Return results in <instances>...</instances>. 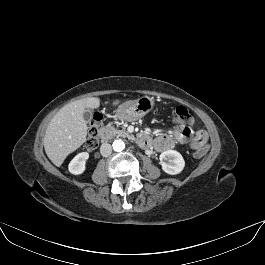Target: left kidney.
I'll return each instance as SVG.
<instances>
[{
    "label": "left kidney",
    "mask_w": 265,
    "mask_h": 265,
    "mask_svg": "<svg viewBox=\"0 0 265 265\" xmlns=\"http://www.w3.org/2000/svg\"><path fill=\"white\" fill-rule=\"evenodd\" d=\"M159 158L162 170L170 175L179 174L185 166L182 155L175 150L164 151Z\"/></svg>",
    "instance_id": "left-kidney-1"
}]
</instances>
